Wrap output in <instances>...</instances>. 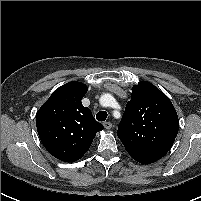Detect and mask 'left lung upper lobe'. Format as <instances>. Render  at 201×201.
<instances>
[{
    "label": "left lung upper lobe",
    "mask_w": 201,
    "mask_h": 201,
    "mask_svg": "<svg viewBox=\"0 0 201 201\" xmlns=\"http://www.w3.org/2000/svg\"><path fill=\"white\" fill-rule=\"evenodd\" d=\"M178 130L170 99L147 81L134 85L117 130L129 155L142 164L159 160L172 147Z\"/></svg>",
    "instance_id": "left-lung-upper-lobe-1"
}]
</instances>
